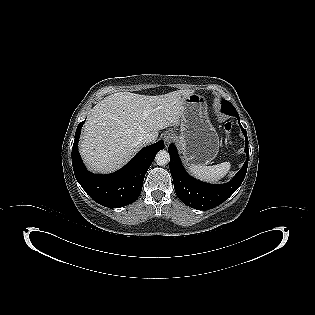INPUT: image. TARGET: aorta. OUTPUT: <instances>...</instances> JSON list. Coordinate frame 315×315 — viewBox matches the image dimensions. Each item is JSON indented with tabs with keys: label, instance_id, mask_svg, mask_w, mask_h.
<instances>
[{
	"label": "aorta",
	"instance_id": "1",
	"mask_svg": "<svg viewBox=\"0 0 315 315\" xmlns=\"http://www.w3.org/2000/svg\"><path fill=\"white\" fill-rule=\"evenodd\" d=\"M169 160H170V156L166 150H160L155 156V161L157 165L159 166L168 164Z\"/></svg>",
	"mask_w": 315,
	"mask_h": 315
}]
</instances>
